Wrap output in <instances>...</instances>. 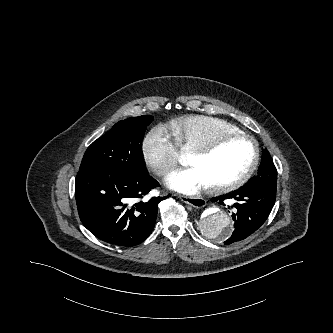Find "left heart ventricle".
I'll return each mask as SVG.
<instances>
[{"mask_svg":"<svg viewBox=\"0 0 333 333\" xmlns=\"http://www.w3.org/2000/svg\"><path fill=\"white\" fill-rule=\"evenodd\" d=\"M253 157V144L248 140L236 139L222 143L206 156L190 154L188 164L198 168L211 186L238 178L250 166Z\"/></svg>","mask_w":333,"mask_h":333,"instance_id":"obj_1","label":"left heart ventricle"}]
</instances>
